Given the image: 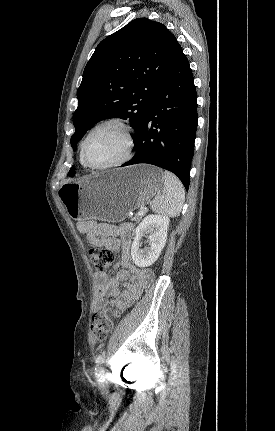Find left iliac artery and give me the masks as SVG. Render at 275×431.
Masks as SVG:
<instances>
[{"instance_id":"obj_1","label":"left iliac artery","mask_w":275,"mask_h":431,"mask_svg":"<svg viewBox=\"0 0 275 431\" xmlns=\"http://www.w3.org/2000/svg\"><path fill=\"white\" fill-rule=\"evenodd\" d=\"M103 364H104V357L103 355H99L96 358V366H95V372L98 377H102L103 375V372H104Z\"/></svg>"}]
</instances>
